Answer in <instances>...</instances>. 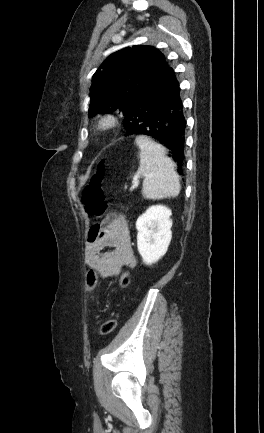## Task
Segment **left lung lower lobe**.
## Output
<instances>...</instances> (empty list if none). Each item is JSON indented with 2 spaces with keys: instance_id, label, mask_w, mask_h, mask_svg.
Listing matches in <instances>:
<instances>
[{
  "instance_id": "1",
  "label": "left lung lower lobe",
  "mask_w": 264,
  "mask_h": 433,
  "mask_svg": "<svg viewBox=\"0 0 264 433\" xmlns=\"http://www.w3.org/2000/svg\"><path fill=\"white\" fill-rule=\"evenodd\" d=\"M126 135H145L167 147L183 173L186 121L174 70L162 72L138 95L125 115Z\"/></svg>"
}]
</instances>
